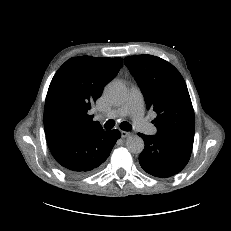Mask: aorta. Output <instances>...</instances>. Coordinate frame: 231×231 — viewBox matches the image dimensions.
Wrapping results in <instances>:
<instances>
[{"label": "aorta", "mask_w": 231, "mask_h": 231, "mask_svg": "<svg viewBox=\"0 0 231 231\" xmlns=\"http://www.w3.org/2000/svg\"><path fill=\"white\" fill-rule=\"evenodd\" d=\"M105 97L113 104L122 103L127 95L126 87L118 81L110 82L104 90ZM144 141L141 137L134 135L126 140V147L133 154H140L144 149Z\"/></svg>", "instance_id": "obj_1"}]
</instances>
